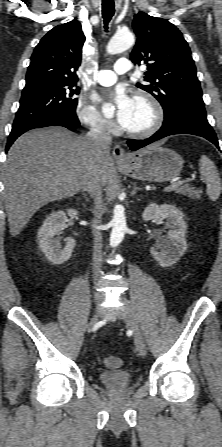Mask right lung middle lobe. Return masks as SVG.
Returning <instances> with one entry per match:
<instances>
[{"label": "right lung middle lobe", "mask_w": 222, "mask_h": 447, "mask_svg": "<svg viewBox=\"0 0 222 447\" xmlns=\"http://www.w3.org/2000/svg\"><path fill=\"white\" fill-rule=\"evenodd\" d=\"M74 86L44 85L24 89L13 126L57 113H75L78 101L73 96L78 94L79 90L74 89Z\"/></svg>", "instance_id": "1"}]
</instances>
